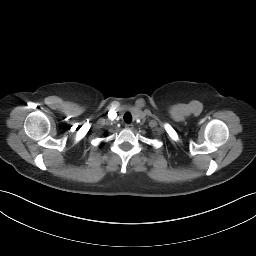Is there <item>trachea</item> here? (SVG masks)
<instances>
[{
    "instance_id": "1",
    "label": "trachea",
    "mask_w": 256,
    "mask_h": 256,
    "mask_svg": "<svg viewBox=\"0 0 256 256\" xmlns=\"http://www.w3.org/2000/svg\"><path fill=\"white\" fill-rule=\"evenodd\" d=\"M124 121L128 124L132 122V115L129 112L124 114Z\"/></svg>"
}]
</instances>
